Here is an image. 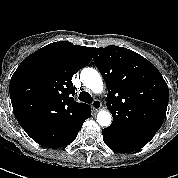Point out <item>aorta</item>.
<instances>
[{
  "label": "aorta",
  "instance_id": "762f6f07",
  "mask_svg": "<svg viewBox=\"0 0 178 178\" xmlns=\"http://www.w3.org/2000/svg\"><path fill=\"white\" fill-rule=\"evenodd\" d=\"M80 78L84 86L92 92L98 94L103 90V82L100 74L93 68H84ZM111 114L106 110H101L97 114V122L100 126L108 127L111 124Z\"/></svg>",
  "mask_w": 178,
  "mask_h": 178
}]
</instances>
